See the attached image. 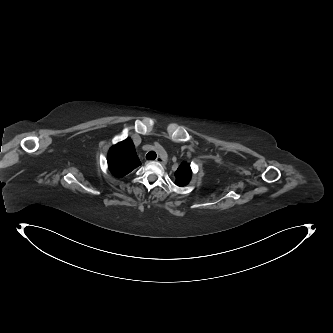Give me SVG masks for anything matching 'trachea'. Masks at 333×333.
<instances>
[{
	"instance_id": "3493384b",
	"label": "trachea",
	"mask_w": 333,
	"mask_h": 333,
	"mask_svg": "<svg viewBox=\"0 0 333 333\" xmlns=\"http://www.w3.org/2000/svg\"><path fill=\"white\" fill-rule=\"evenodd\" d=\"M157 157V154L154 151H150L146 155L147 160H155Z\"/></svg>"
}]
</instances>
